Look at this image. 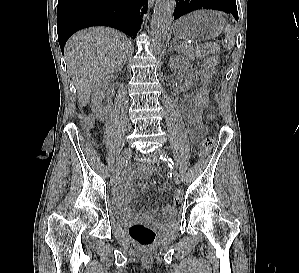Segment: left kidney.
Segmentation results:
<instances>
[{
	"instance_id": "left-kidney-1",
	"label": "left kidney",
	"mask_w": 299,
	"mask_h": 273,
	"mask_svg": "<svg viewBox=\"0 0 299 273\" xmlns=\"http://www.w3.org/2000/svg\"><path fill=\"white\" fill-rule=\"evenodd\" d=\"M169 67L171 69H175L176 67H180L183 69L186 79L185 84L181 89L184 91L188 90L194 78V71L191 64L180 55H173L170 57Z\"/></svg>"
}]
</instances>
